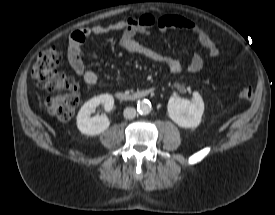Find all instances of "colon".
I'll use <instances>...</instances> for the list:
<instances>
[{
  "label": "colon",
  "mask_w": 275,
  "mask_h": 215,
  "mask_svg": "<svg viewBox=\"0 0 275 215\" xmlns=\"http://www.w3.org/2000/svg\"><path fill=\"white\" fill-rule=\"evenodd\" d=\"M62 64V56L56 49L41 52L33 65L32 75L40 87L54 92L44 100L49 113L61 121L71 119L80 102L79 84L71 77L59 72L57 67ZM254 91L245 86L239 91L242 100H250Z\"/></svg>",
  "instance_id": "5ec220e1"
}]
</instances>
